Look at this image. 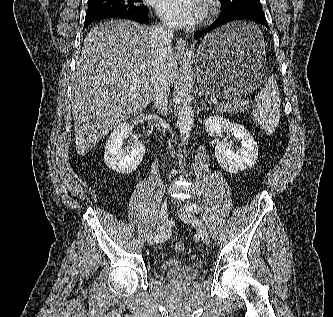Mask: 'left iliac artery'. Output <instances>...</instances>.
I'll return each instance as SVG.
<instances>
[{"mask_svg": "<svg viewBox=\"0 0 333 317\" xmlns=\"http://www.w3.org/2000/svg\"><path fill=\"white\" fill-rule=\"evenodd\" d=\"M193 210H194L195 212H199L200 207H199L198 205L194 204V205H193Z\"/></svg>", "mask_w": 333, "mask_h": 317, "instance_id": "1", "label": "left iliac artery"}]
</instances>
